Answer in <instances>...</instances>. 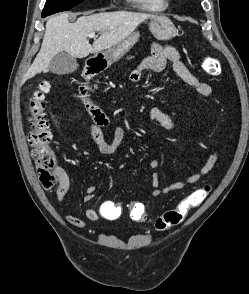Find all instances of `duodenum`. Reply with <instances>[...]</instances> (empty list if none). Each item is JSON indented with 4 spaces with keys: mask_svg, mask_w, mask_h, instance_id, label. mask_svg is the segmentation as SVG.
I'll use <instances>...</instances> for the list:
<instances>
[{
    "mask_svg": "<svg viewBox=\"0 0 249 294\" xmlns=\"http://www.w3.org/2000/svg\"><path fill=\"white\" fill-rule=\"evenodd\" d=\"M103 69V65L94 62H88L85 70L82 73L79 85V94L86 105L89 114L93 118H107L100 106L96 103L92 96L91 80Z\"/></svg>",
    "mask_w": 249,
    "mask_h": 294,
    "instance_id": "410a0bca",
    "label": "duodenum"
}]
</instances>
